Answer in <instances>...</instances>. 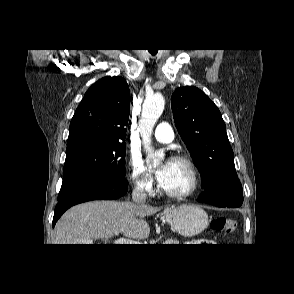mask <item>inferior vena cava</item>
<instances>
[{"instance_id": "inferior-vena-cava-1", "label": "inferior vena cava", "mask_w": 294, "mask_h": 294, "mask_svg": "<svg viewBox=\"0 0 294 294\" xmlns=\"http://www.w3.org/2000/svg\"><path fill=\"white\" fill-rule=\"evenodd\" d=\"M147 194L144 191V186L137 184L132 192V199L135 203L145 204Z\"/></svg>"}]
</instances>
